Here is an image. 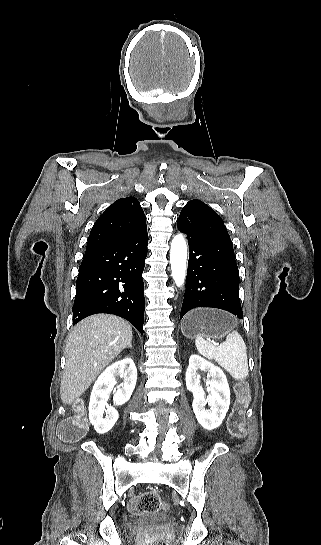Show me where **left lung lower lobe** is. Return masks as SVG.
<instances>
[{"label":"left lung lower lobe","mask_w":321,"mask_h":545,"mask_svg":"<svg viewBox=\"0 0 321 545\" xmlns=\"http://www.w3.org/2000/svg\"><path fill=\"white\" fill-rule=\"evenodd\" d=\"M177 224L187 234L190 252L180 319L197 307L223 309L242 319L239 271L221 217L208 205L197 202L183 207Z\"/></svg>","instance_id":"1"}]
</instances>
